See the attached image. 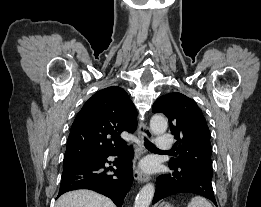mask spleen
<instances>
[{"mask_svg":"<svg viewBox=\"0 0 261 207\" xmlns=\"http://www.w3.org/2000/svg\"><path fill=\"white\" fill-rule=\"evenodd\" d=\"M187 207H212V205L205 198L196 196L191 199Z\"/></svg>","mask_w":261,"mask_h":207,"instance_id":"3e777b00","label":"spleen"}]
</instances>
